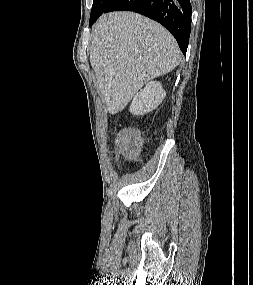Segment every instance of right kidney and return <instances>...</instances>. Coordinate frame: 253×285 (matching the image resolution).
I'll return each mask as SVG.
<instances>
[{
  "label": "right kidney",
  "instance_id": "right-kidney-1",
  "mask_svg": "<svg viewBox=\"0 0 253 285\" xmlns=\"http://www.w3.org/2000/svg\"><path fill=\"white\" fill-rule=\"evenodd\" d=\"M166 96V92L158 81H150L144 89L137 93L131 103L130 112L144 115L157 108Z\"/></svg>",
  "mask_w": 253,
  "mask_h": 285
}]
</instances>
